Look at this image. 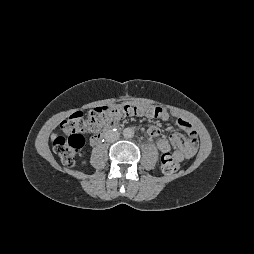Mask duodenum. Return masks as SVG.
<instances>
[{
	"label": "duodenum",
	"mask_w": 254,
	"mask_h": 254,
	"mask_svg": "<svg viewBox=\"0 0 254 254\" xmlns=\"http://www.w3.org/2000/svg\"><path fill=\"white\" fill-rule=\"evenodd\" d=\"M116 128H118V126ZM109 131H110L109 129H106L104 131H101V132L96 133L95 135H93L91 137V140H90L91 144L92 145L99 144L103 140V138L109 133Z\"/></svg>",
	"instance_id": "1"
}]
</instances>
